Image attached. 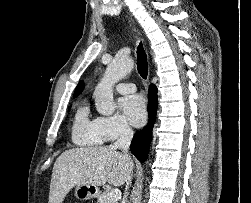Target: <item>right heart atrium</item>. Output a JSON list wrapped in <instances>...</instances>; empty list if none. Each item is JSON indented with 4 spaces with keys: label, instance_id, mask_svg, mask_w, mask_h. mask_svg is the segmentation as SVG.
I'll list each match as a JSON object with an SVG mask.
<instances>
[{
    "label": "right heart atrium",
    "instance_id": "obj_1",
    "mask_svg": "<svg viewBox=\"0 0 251 203\" xmlns=\"http://www.w3.org/2000/svg\"><path fill=\"white\" fill-rule=\"evenodd\" d=\"M95 125L106 142H112L131 133L128 122L120 115L112 117H97Z\"/></svg>",
    "mask_w": 251,
    "mask_h": 203
}]
</instances>
